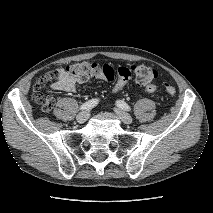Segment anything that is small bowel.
<instances>
[{"mask_svg": "<svg viewBox=\"0 0 213 213\" xmlns=\"http://www.w3.org/2000/svg\"><path fill=\"white\" fill-rule=\"evenodd\" d=\"M50 75L52 79L53 89L63 92H74L76 90L77 81L64 69L58 68L54 70ZM146 90L148 92H154L156 90V87L152 85L150 87H147Z\"/></svg>", "mask_w": 213, "mask_h": 213, "instance_id": "c3829d8e", "label": "small bowel"}]
</instances>
